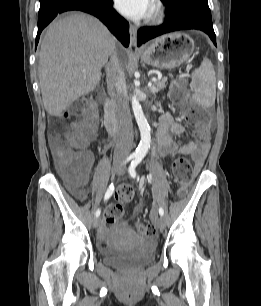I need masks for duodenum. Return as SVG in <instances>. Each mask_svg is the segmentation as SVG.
<instances>
[{
	"label": "duodenum",
	"instance_id": "obj_1",
	"mask_svg": "<svg viewBox=\"0 0 261 306\" xmlns=\"http://www.w3.org/2000/svg\"><path fill=\"white\" fill-rule=\"evenodd\" d=\"M104 126L111 133L118 129L115 104L111 99H108L104 105Z\"/></svg>",
	"mask_w": 261,
	"mask_h": 306
}]
</instances>
